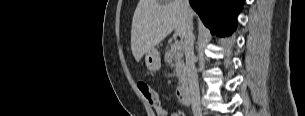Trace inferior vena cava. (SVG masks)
<instances>
[{"mask_svg": "<svg viewBox=\"0 0 305 116\" xmlns=\"http://www.w3.org/2000/svg\"><path fill=\"white\" fill-rule=\"evenodd\" d=\"M182 5L184 9V15L186 18L184 49H185L189 89L191 94V105L194 116H200L201 114L200 91H199L197 71L195 68L193 23H192V18L188 15L190 11L189 1L182 0Z\"/></svg>", "mask_w": 305, "mask_h": 116, "instance_id": "inferior-vena-cava-1", "label": "inferior vena cava"}]
</instances>
